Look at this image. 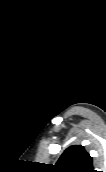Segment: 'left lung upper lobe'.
<instances>
[{
    "label": "left lung upper lobe",
    "mask_w": 106,
    "mask_h": 172,
    "mask_svg": "<svg viewBox=\"0 0 106 172\" xmlns=\"http://www.w3.org/2000/svg\"><path fill=\"white\" fill-rule=\"evenodd\" d=\"M55 172H96L92 158L82 146H71L64 151L54 166Z\"/></svg>",
    "instance_id": "1"
}]
</instances>
